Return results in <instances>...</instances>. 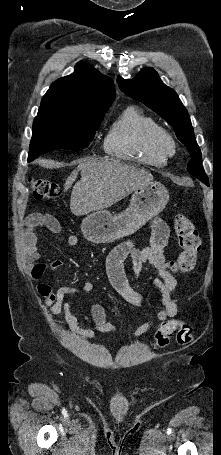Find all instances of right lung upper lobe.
<instances>
[{"label": "right lung upper lobe", "mask_w": 221, "mask_h": 455, "mask_svg": "<svg viewBox=\"0 0 221 455\" xmlns=\"http://www.w3.org/2000/svg\"><path fill=\"white\" fill-rule=\"evenodd\" d=\"M115 94L111 78L80 61L73 74L59 78L50 86L42 98L39 111L88 116L108 110Z\"/></svg>", "instance_id": "1"}]
</instances>
